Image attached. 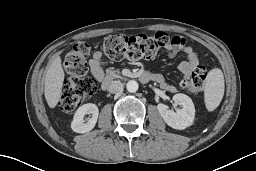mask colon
<instances>
[{"mask_svg":"<svg viewBox=\"0 0 256 171\" xmlns=\"http://www.w3.org/2000/svg\"><path fill=\"white\" fill-rule=\"evenodd\" d=\"M169 42V36L163 32L134 36L112 35L105 39L103 51L113 60L124 58L150 60L155 58ZM89 50L87 43L76 42L64 59V68L69 75L63 84L59 101L60 109L64 112L75 111L96 90L95 81L86 76ZM205 79L206 70L199 65L188 80L182 81V85L191 92H202Z\"/></svg>","mask_w":256,"mask_h":171,"instance_id":"5ec220e1","label":"colon"}]
</instances>
